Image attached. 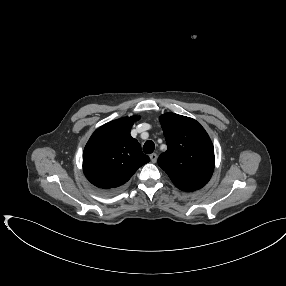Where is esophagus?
I'll use <instances>...</instances> for the list:
<instances>
[{
  "label": "esophagus",
  "instance_id": "esophagus-1",
  "mask_svg": "<svg viewBox=\"0 0 286 286\" xmlns=\"http://www.w3.org/2000/svg\"><path fill=\"white\" fill-rule=\"evenodd\" d=\"M157 158H158V156H157L156 153H152V154L150 155V159H151L152 163H156Z\"/></svg>",
  "mask_w": 286,
  "mask_h": 286
}]
</instances>
